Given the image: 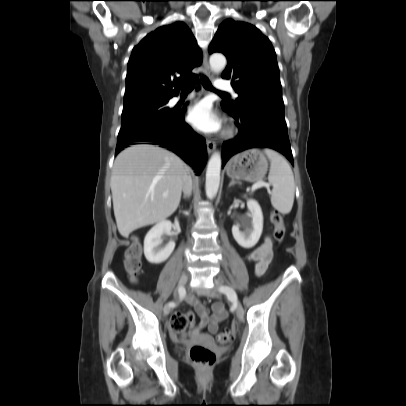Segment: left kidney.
<instances>
[{
    "label": "left kidney",
    "mask_w": 406,
    "mask_h": 406,
    "mask_svg": "<svg viewBox=\"0 0 406 406\" xmlns=\"http://www.w3.org/2000/svg\"><path fill=\"white\" fill-rule=\"evenodd\" d=\"M249 214L243 219L242 224L232 227V234L236 242L245 249L254 247L260 239L263 230V214L257 201H247ZM243 228V231L240 228Z\"/></svg>",
    "instance_id": "5707ae66"
}]
</instances>
